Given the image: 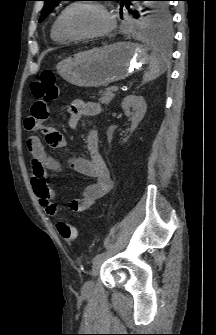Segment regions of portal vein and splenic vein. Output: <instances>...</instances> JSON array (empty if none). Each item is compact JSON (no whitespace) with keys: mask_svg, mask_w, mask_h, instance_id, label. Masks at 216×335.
Segmentation results:
<instances>
[{"mask_svg":"<svg viewBox=\"0 0 216 335\" xmlns=\"http://www.w3.org/2000/svg\"><path fill=\"white\" fill-rule=\"evenodd\" d=\"M119 90V86L118 85H115L114 87H113V91L114 92H117Z\"/></svg>","mask_w":216,"mask_h":335,"instance_id":"18ae733b","label":"portal vein and splenic vein"}]
</instances>
